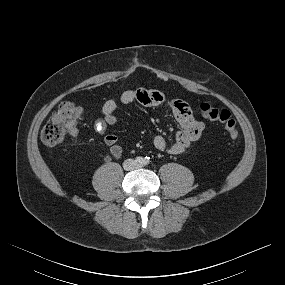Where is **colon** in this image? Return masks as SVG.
<instances>
[{
  "label": "colon",
  "mask_w": 285,
  "mask_h": 285,
  "mask_svg": "<svg viewBox=\"0 0 285 285\" xmlns=\"http://www.w3.org/2000/svg\"><path fill=\"white\" fill-rule=\"evenodd\" d=\"M200 113L206 120L221 123L231 139L239 137L237 122L229 110L204 103L200 106ZM82 119L81 107L72 101L61 102L41 132L42 141L48 146L61 144L68 135L77 130Z\"/></svg>",
  "instance_id": "1"
}]
</instances>
